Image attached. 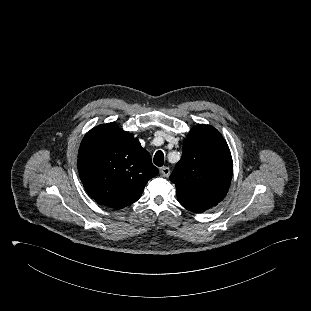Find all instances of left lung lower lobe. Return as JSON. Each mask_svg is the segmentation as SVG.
<instances>
[{"mask_svg":"<svg viewBox=\"0 0 311 311\" xmlns=\"http://www.w3.org/2000/svg\"><path fill=\"white\" fill-rule=\"evenodd\" d=\"M177 198H178V201L180 202V204L184 208H186L187 210H190L194 213H201V212H204V211L213 207V205H211V204L192 201V200H189V199H187L183 196H180L178 194H177Z\"/></svg>","mask_w":311,"mask_h":311,"instance_id":"obj_1","label":"left lung lower lobe"}]
</instances>
